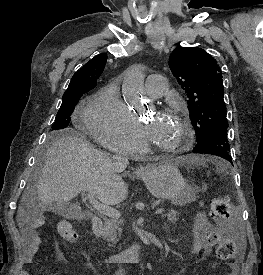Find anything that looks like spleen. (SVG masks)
I'll return each instance as SVG.
<instances>
[{
  "label": "spleen",
  "instance_id": "1",
  "mask_svg": "<svg viewBox=\"0 0 263 275\" xmlns=\"http://www.w3.org/2000/svg\"><path fill=\"white\" fill-rule=\"evenodd\" d=\"M217 167H218V170L222 172V171L225 170V168L227 167V165H225L224 163L220 162V163L217 164Z\"/></svg>",
  "mask_w": 263,
  "mask_h": 275
}]
</instances>
